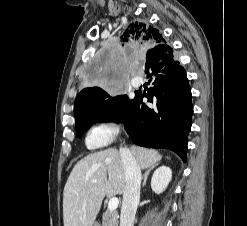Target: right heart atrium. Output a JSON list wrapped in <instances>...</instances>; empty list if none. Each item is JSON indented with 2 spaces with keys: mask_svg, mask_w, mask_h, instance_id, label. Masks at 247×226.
<instances>
[{
  "mask_svg": "<svg viewBox=\"0 0 247 226\" xmlns=\"http://www.w3.org/2000/svg\"><path fill=\"white\" fill-rule=\"evenodd\" d=\"M122 128L120 116L115 111H107L89 130L86 143L91 148L106 147L119 136Z\"/></svg>",
  "mask_w": 247,
  "mask_h": 226,
  "instance_id": "1",
  "label": "right heart atrium"
}]
</instances>
